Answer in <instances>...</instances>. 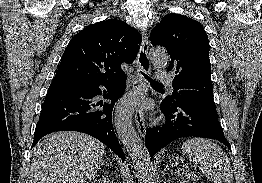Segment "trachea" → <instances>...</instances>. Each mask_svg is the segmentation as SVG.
<instances>
[{"label":"trachea","mask_w":262,"mask_h":183,"mask_svg":"<svg viewBox=\"0 0 262 183\" xmlns=\"http://www.w3.org/2000/svg\"><path fill=\"white\" fill-rule=\"evenodd\" d=\"M143 75H144V77L150 82L151 85H161V86H162V84H160L159 82L151 79V78H150L149 76H147L146 74L143 73Z\"/></svg>","instance_id":"1"}]
</instances>
